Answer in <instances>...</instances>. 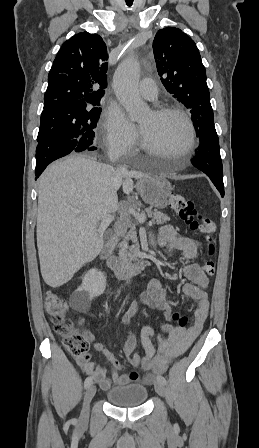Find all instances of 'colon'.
Instances as JSON below:
<instances>
[{"mask_svg":"<svg viewBox=\"0 0 259 448\" xmlns=\"http://www.w3.org/2000/svg\"><path fill=\"white\" fill-rule=\"evenodd\" d=\"M170 206L193 231L207 238V254H214L212 236L215 232V223L212 219L199 213L194 203L179 193H172L169 198ZM203 270L208 276L215 273V263L212 259L204 262ZM45 309L53 323L54 330L63 337V343L68 352L77 357L88 355L90 344L88 339L75 328L73 321L68 317V305L58 294L48 292L45 297ZM173 327H184L187 317L182 312H174L171 315ZM142 356L134 354L132 362L138 365Z\"/></svg>","mask_w":259,"mask_h":448,"instance_id":"1","label":"colon"}]
</instances>
